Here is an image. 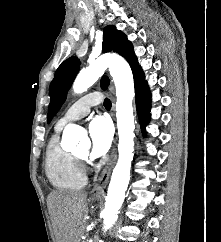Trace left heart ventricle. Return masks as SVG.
<instances>
[{"instance_id":"b2bd125f","label":"left heart ventricle","mask_w":221,"mask_h":242,"mask_svg":"<svg viewBox=\"0 0 221 242\" xmlns=\"http://www.w3.org/2000/svg\"><path fill=\"white\" fill-rule=\"evenodd\" d=\"M87 148L81 149L77 152L79 156H87Z\"/></svg>"}]
</instances>
